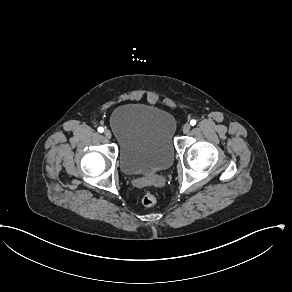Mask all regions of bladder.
<instances>
[{
	"label": "bladder",
	"instance_id": "1",
	"mask_svg": "<svg viewBox=\"0 0 292 292\" xmlns=\"http://www.w3.org/2000/svg\"><path fill=\"white\" fill-rule=\"evenodd\" d=\"M110 126L124 173H152L166 169L174 161L176 121L169 111L148 103H126L113 111Z\"/></svg>",
	"mask_w": 292,
	"mask_h": 292
}]
</instances>
